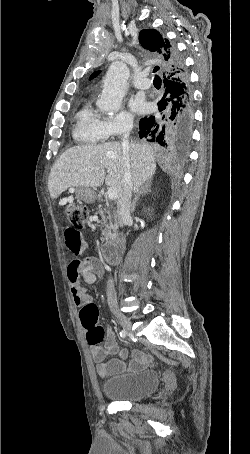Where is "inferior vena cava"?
Returning <instances> with one entry per match:
<instances>
[{
	"label": "inferior vena cava",
	"mask_w": 250,
	"mask_h": 454,
	"mask_svg": "<svg viewBox=\"0 0 250 454\" xmlns=\"http://www.w3.org/2000/svg\"><path fill=\"white\" fill-rule=\"evenodd\" d=\"M132 126H128L122 137V151H123V162H124V174H123V192L117 203V219L118 225L123 227L126 221L130 218V206H131V195H132V175L130 169V158H129V134ZM107 301L109 305H116L117 296L112 280L107 283Z\"/></svg>",
	"instance_id": "1"
}]
</instances>
